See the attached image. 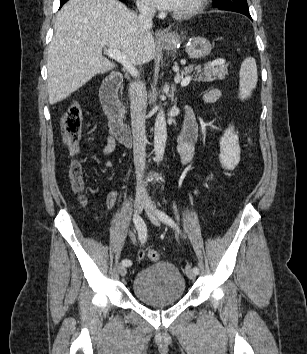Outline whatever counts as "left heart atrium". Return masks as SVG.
Returning <instances> with one entry per match:
<instances>
[{
	"instance_id": "39dd6f15",
	"label": "left heart atrium",
	"mask_w": 307,
	"mask_h": 354,
	"mask_svg": "<svg viewBox=\"0 0 307 354\" xmlns=\"http://www.w3.org/2000/svg\"><path fill=\"white\" fill-rule=\"evenodd\" d=\"M150 2L161 10L174 11L179 0H150Z\"/></svg>"
}]
</instances>
